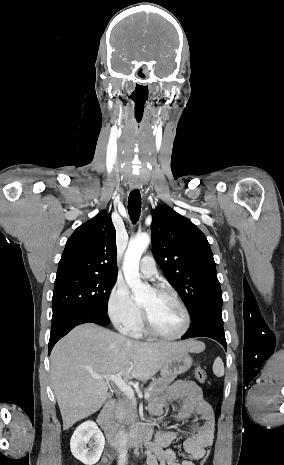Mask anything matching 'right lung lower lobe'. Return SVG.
<instances>
[{"label":"right lung lower lobe","instance_id":"1","mask_svg":"<svg viewBox=\"0 0 284 465\" xmlns=\"http://www.w3.org/2000/svg\"><path fill=\"white\" fill-rule=\"evenodd\" d=\"M83 323L107 325L110 323V320L107 313L88 308L70 309L56 317H53L48 347L49 355L53 346L59 339L65 336L74 327Z\"/></svg>","mask_w":284,"mask_h":465}]
</instances>
